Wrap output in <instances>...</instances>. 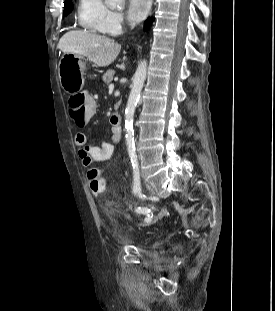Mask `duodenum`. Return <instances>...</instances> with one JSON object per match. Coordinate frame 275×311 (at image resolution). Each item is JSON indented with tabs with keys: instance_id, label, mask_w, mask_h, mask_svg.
<instances>
[{
	"instance_id": "1",
	"label": "duodenum",
	"mask_w": 275,
	"mask_h": 311,
	"mask_svg": "<svg viewBox=\"0 0 275 311\" xmlns=\"http://www.w3.org/2000/svg\"><path fill=\"white\" fill-rule=\"evenodd\" d=\"M111 120H112V121H113V120H116V121H117L116 126H120V125H121V117H120V115H118V114H113V115L111 116Z\"/></svg>"
}]
</instances>
